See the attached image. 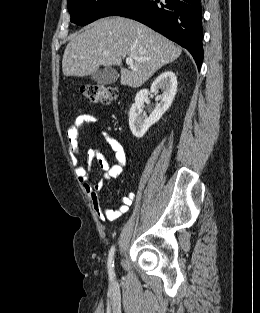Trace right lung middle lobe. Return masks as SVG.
<instances>
[{
    "label": "right lung middle lobe",
    "instance_id": "obj_1",
    "mask_svg": "<svg viewBox=\"0 0 260 313\" xmlns=\"http://www.w3.org/2000/svg\"><path fill=\"white\" fill-rule=\"evenodd\" d=\"M121 0H68L71 21L78 25L89 24L105 15Z\"/></svg>",
    "mask_w": 260,
    "mask_h": 313
}]
</instances>
